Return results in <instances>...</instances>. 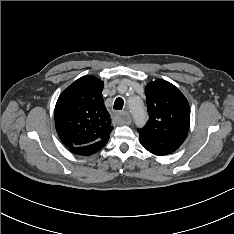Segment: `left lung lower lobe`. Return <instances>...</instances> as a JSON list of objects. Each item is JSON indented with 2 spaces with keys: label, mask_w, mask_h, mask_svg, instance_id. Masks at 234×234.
Segmentation results:
<instances>
[{
  "label": "left lung lower lobe",
  "mask_w": 234,
  "mask_h": 234,
  "mask_svg": "<svg viewBox=\"0 0 234 234\" xmlns=\"http://www.w3.org/2000/svg\"><path fill=\"white\" fill-rule=\"evenodd\" d=\"M141 145L155 155H167L176 151L180 145L167 139H146L140 136Z\"/></svg>",
  "instance_id": "0a47b994"
}]
</instances>
